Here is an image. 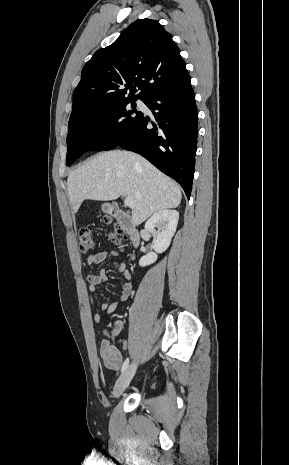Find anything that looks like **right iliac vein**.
<instances>
[{
    "label": "right iliac vein",
    "mask_w": 289,
    "mask_h": 465,
    "mask_svg": "<svg viewBox=\"0 0 289 465\" xmlns=\"http://www.w3.org/2000/svg\"><path fill=\"white\" fill-rule=\"evenodd\" d=\"M136 368H137V363L133 362L119 377L113 390V396L115 398H118L120 395H122V393L128 387L129 383L131 382L135 374Z\"/></svg>",
    "instance_id": "63e3f726"
}]
</instances>
